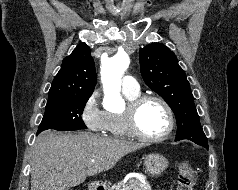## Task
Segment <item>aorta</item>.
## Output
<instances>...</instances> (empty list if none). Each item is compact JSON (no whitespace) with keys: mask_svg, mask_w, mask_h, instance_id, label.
<instances>
[{"mask_svg":"<svg viewBox=\"0 0 238 190\" xmlns=\"http://www.w3.org/2000/svg\"><path fill=\"white\" fill-rule=\"evenodd\" d=\"M129 64V56L125 52H118L102 64L101 80L105 93L104 107L107 110H113L121 104L120 78Z\"/></svg>","mask_w":238,"mask_h":190,"instance_id":"1","label":"aorta"}]
</instances>
